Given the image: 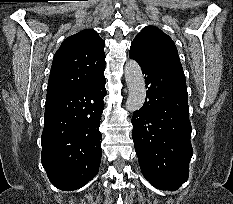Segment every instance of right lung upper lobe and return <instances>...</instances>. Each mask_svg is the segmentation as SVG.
Here are the masks:
<instances>
[{"label":"right lung upper lobe","mask_w":233,"mask_h":204,"mask_svg":"<svg viewBox=\"0 0 233 204\" xmlns=\"http://www.w3.org/2000/svg\"><path fill=\"white\" fill-rule=\"evenodd\" d=\"M105 42L93 29H86L63 41L52 63L47 97L80 88L105 69Z\"/></svg>","instance_id":"cb5924a9"}]
</instances>
